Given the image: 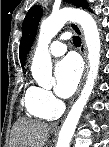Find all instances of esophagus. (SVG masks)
I'll return each mask as SVG.
<instances>
[{
	"label": "esophagus",
	"instance_id": "obj_1",
	"mask_svg": "<svg viewBox=\"0 0 109 147\" xmlns=\"http://www.w3.org/2000/svg\"><path fill=\"white\" fill-rule=\"evenodd\" d=\"M70 28L77 34L81 37V40H82V44H81V48H80V52L84 58V61H85V68H84V72H83V76H82V79H81V82L79 84V87L77 89V92H76V95L74 97V99L79 95L80 93V90L84 84V81H85V78H86V74H87V71H88V59H87V52H86V44H85V39H84V35H83V32H82V29L81 27L76 24V23H71L70 24ZM74 99L71 101L69 107H68V110L69 108L71 107ZM67 110V111H68ZM67 113V112H66ZM66 114L61 118L59 119L58 121H56L55 123H53L51 125V128L52 129H60L62 124H63V121H64V118H65Z\"/></svg>",
	"mask_w": 109,
	"mask_h": 147
}]
</instances>
